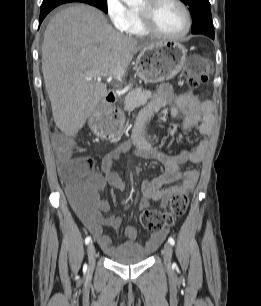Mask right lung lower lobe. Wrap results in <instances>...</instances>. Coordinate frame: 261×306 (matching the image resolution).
I'll list each match as a JSON object with an SVG mask.
<instances>
[{
	"mask_svg": "<svg viewBox=\"0 0 261 306\" xmlns=\"http://www.w3.org/2000/svg\"><path fill=\"white\" fill-rule=\"evenodd\" d=\"M56 6H50V7H45V8H41L40 11V17H39V26L41 25L43 19L45 18V16L52 10L54 9Z\"/></svg>",
	"mask_w": 261,
	"mask_h": 306,
	"instance_id": "right-lung-lower-lobe-1",
	"label": "right lung lower lobe"
}]
</instances>
